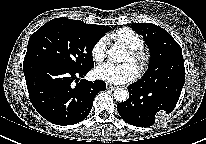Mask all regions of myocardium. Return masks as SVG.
Here are the masks:
<instances>
[{"label":"myocardium","mask_w":206,"mask_h":144,"mask_svg":"<svg viewBox=\"0 0 206 144\" xmlns=\"http://www.w3.org/2000/svg\"><path fill=\"white\" fill-rule=\"evenodd\" d=\"M130 61L136 67L139 76L143 75L149 66V56L141 49H130L129 51Z\"/></svg>","instance_id":"myocardium-1"}]
</instances>
